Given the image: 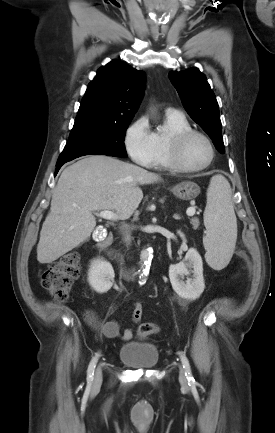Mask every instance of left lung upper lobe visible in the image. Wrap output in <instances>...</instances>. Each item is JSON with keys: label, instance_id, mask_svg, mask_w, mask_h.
I'll use <instances>...</instances> for the list:
<instances>
[{"label": "left lung upper lobe", "instance_id": "left-lung-upper-lobe-1", "mask_svg": "<svg viewBox=\"0 0 275 433\" xmlns=\"http://www.w3.org/2000/svg\"><path fill=\"white\" fill-rule=\"evenodd\" d=\"M168 76L187 113L209 135L216 149L224 154L218 102L205 75L192 67L181 72H170Z\"/></svg>", "mask_w": 275, "mask_h": 433}]
</instances>
